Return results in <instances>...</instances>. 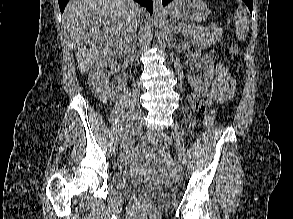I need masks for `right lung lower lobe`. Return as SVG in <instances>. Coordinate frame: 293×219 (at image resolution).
Wrapping results in <instances>:
<instances>
[{
  "mask_svg": "<svg viewBox=\"0 0 293 219\" xmlns=\"http://www.w3.org/2000/svg\"><path fill=\"white\" fill-rule=\"evenodd\" d=\"M68 1L69 0H58L60 11L62 13H63L65 5ZM135 1L138 2L141 6L146 7V9L152 14V7H153L152 0H135Z\"/></svg>",
  "mask_w": 293,
  "mask_h": 219,
  "instance_id": "1",
  "label": "right lung lower lobe"
}]
</instances>
